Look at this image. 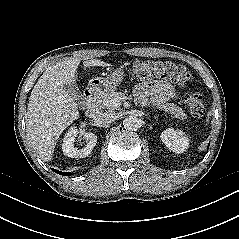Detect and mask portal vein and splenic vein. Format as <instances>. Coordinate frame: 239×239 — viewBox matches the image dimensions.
<instances>
[{
	"label": "portal vein and splenic vein",
	"mask_w": 239,
	"mask_h": 239,
	"mask_svg": "<svg viewBox=\"0 0 239 239\" xmlns=\"http://www.w3.org/2000/svg\"><path fill=\"white\" fill-rule=\"evenodd\" d=\"M121 100H122V98L117 97L113 100V102H114L115 105H120Z\"/></svg>",
	"instance_id": "18ae733b"
}]
</instances>
